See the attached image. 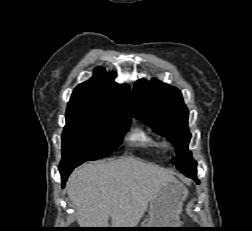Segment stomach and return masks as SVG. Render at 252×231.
Instances as JSON below:
<instances>
[{
  "label": "stomach",
  "instance_id": "1",
  "mask_svg": "<svg viewBox=\"0 0 252 231\" xmlns=\"http://www.w3.org/2000/svg\"><path fill=\"white\" fill-rule=\"evenodd\" d=\"M187 194V188L176 179L162 185L150 201L148 222L140 228H179L178 216Z\"/></svg>",
  "mask_w": 252,
  "mask_h": 231
}]
</instances>
